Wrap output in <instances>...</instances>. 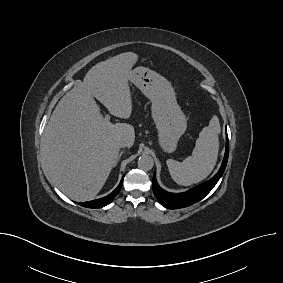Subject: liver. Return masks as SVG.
Listing matches in <instances>:
<instances>
[{"instance_id": "1", "label": "liver", "mask_w": 283, "mask_h": 283, "mask_svg": "<svg viewBox=\"0 0 283 283\" xmlns=\"http://www.w3.org/2000/svg\"><path fill=\"white\" fill-rule=\"evenodd\" d=\"M138 55L126 52L99 62L77 81L55 107L43 134V156L55 185L75 201L95 197L119 156L118 143L135 141L134 127L112 124L94 97L116 117L128 119L132 98L128 81Z\"/></svg>"}]
</instances>
